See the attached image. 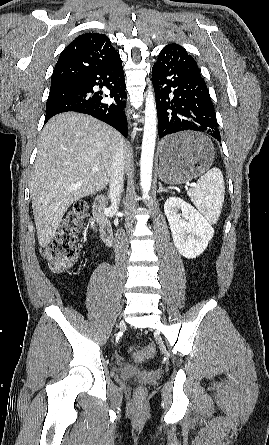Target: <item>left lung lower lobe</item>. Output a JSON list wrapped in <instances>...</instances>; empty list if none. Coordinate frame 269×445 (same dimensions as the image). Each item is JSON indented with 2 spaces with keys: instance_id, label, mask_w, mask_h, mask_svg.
I'll return each mask as SVG.
<instances>
[{
  "instance_id": "left-lung-lower-lobe-1",
  "label": "left lung lower lobe",
  "mask_w": 269,
  "mask_h": 445,
  "mask_svg": "<svg viewBox=\"0 0 269 445\" xmlns=\"http://www.w3.org/2000/svg\"><path fill=\"white\" fill-rule=\"evenodd\" d=\"M159 138L180 131H198L220 140L214 105L196 61L181 46L162 49L152 67ZM166 154L179 151L165 145Z\"/></svg>"
}]
</instances>
